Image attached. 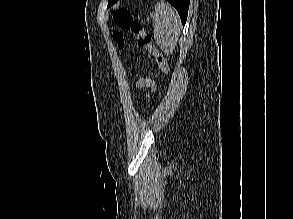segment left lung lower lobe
I'll list each match as a JSON object with an SVG mask.
<instances>
[{
    "mask_svg": "<svg viewBox=\"0 0 293 219\" xmlns=\"http://www.w3.org/2000/svg\"><path fill=\"white\" fill-rule=\"evenodd\" d=\"M118 0H116L117 2ZM178 11L182 24L184 25L188 15V8L190 0H167ZM115 2V3H116Z\"/></svg>",
    "mask_w": 293,
    "mask_h": 219,
    "instance_id": "obj_1",
    "label": "left lung lower lobe"
}]
</instances>
